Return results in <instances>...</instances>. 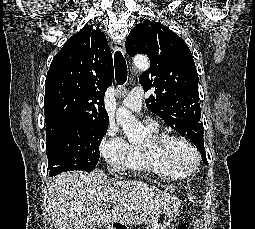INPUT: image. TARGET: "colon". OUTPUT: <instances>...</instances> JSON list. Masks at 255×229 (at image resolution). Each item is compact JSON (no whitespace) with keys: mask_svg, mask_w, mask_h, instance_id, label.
Here are the masks:
<instances>
[{"mask_svg":"<svg viewBox=\"0 0 255 229\" xmlns=\"http://www.w3.org/2000/svg\"><path fill=\"white\" fill-rule=\"evenodd\" d=\"M175 229H189L188 225L185 223H180Z\"/></svg>","mask_w":255,"mask_h":229,"instance_id":"1","label":"colon"}]
</instances>
